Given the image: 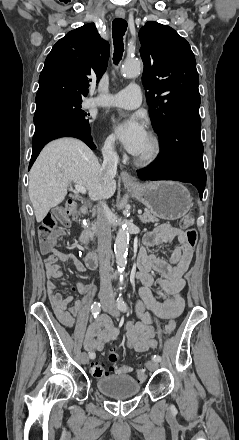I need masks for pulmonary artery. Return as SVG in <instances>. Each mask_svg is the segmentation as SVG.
Here are the masks:
<instances>
[{"label": "pulmonary artery", "mask_w": 239, "mask_h": 440, "mask_svg": "<svg viewBox=\"0 0 239 440\" xmlns=\"http://www.w3.org/2000/svg\"><path fill=\"white\" fill-rule=\"evenodd\" d=\"M141 104V93L138 85H130L124 90L110 95H98L88 99V107H121L134 109Z\"/></svg>", "instance_id": "e3ab8cb5"}]
</instances>
